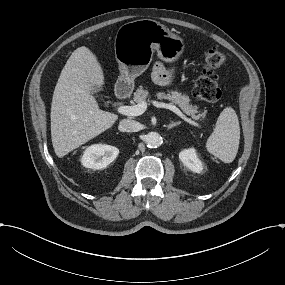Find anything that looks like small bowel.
Returning <instances> with one entry per match:
<instances>
[{
    "label": "small bowel",
    "instance_id": "c3829d8e",
    "mask_svg": "<svg viewBox=\"0 0 285 285\" xmlns=\"http://www.w3.org/2000/svg\"><path fill=\"white\" fill-rule=\"evenodd\" d=\"M152 78L158 85L165 86L171 81V74L169 70L161 63H157L153 67Z\"/></svg>",
    "mask_w": 285,
    "mask_h": 285
}]
</instances>
